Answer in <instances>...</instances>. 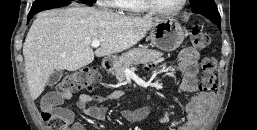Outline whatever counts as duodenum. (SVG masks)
Instances as JSON below:
<instances>
[{
    "label": "duodenum",
    "mask_w": 257,
    "mask_h": 130,
    "mask_svg": "<svg viewBox=\"0 0 257 130\" xmlns=\"http://www.w3.org/2000/svg\"><path fill=\"white\" fill-rule=\"evenodd\" d=\"M113 67V62L111 59H105L102 63V69L105 72H110L112 70Z\"/></svg>",
    "instance_id": "obj_1"
}]
</instances>
